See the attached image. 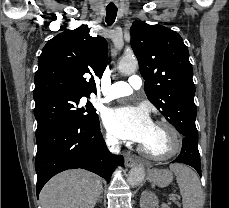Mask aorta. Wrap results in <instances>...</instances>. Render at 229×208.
Returning <instances> with one entry per match:
<instances>
[{
    "label": "aorta",
    "mask_w": 229,
    "mask_h": 208,
    "mask_svg": "<svg viewBox=\"0 0 229 208\" xmlns=\"http://www.w3.org/2000/svg\"><path fill=\"white\" fill-rule=\"evenodd\" d=\"M137 61L133 58H123L119 63V71L122 74L130 75L136 71ZM145 177V170L143 167H134L128 174L127 181L131 187H136L141 184Z\"/></svg>",
    "instance_id": "1"
}]
</instances>
